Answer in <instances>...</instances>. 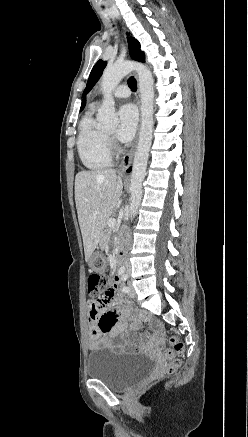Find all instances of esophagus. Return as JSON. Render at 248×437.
I'll list each match as a JSON object with an SVG mask.
<instances>
[{"mask_svg":"<svg viewBox=\"0 0 248 437\" xmlns=\"http://www.w3.org/2000/svg\"><path fill=\"white\" fill-rule=\"evenodd\" d=\"M123 32H124V37L127 40V35H126V30L123 27ZM135 77L137 79V83H138V74L135 73ZM136 99H137V103L139 105V108H141V93H140V88H139V83H138V88H137V92H136ZM137 142H138V136L136 137L135 142L133 143L131 149L122 157L121 159V163L119 165V171L121 173H124L131 165L136 148H137Z\"/></svg>","mask_w":248,"mask_h":437,"instance_id":"esophagus-1","label":"esophagus"}]
</instances>
